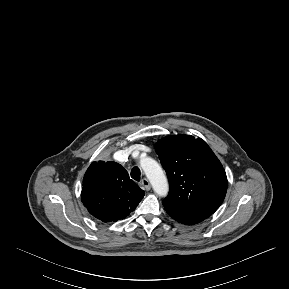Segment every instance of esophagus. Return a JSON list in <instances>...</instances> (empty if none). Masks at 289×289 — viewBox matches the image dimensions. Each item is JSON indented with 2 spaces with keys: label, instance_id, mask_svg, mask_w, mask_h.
I'll return each instance as SVG.
<instances>
[{
  "label": "esophagus",
  "instance_id": "obj_1",
  "mask_svg": "<svg viewBox=\"0 0 289 289\" xmlns=\"http://www.w3.org/2000/svg\"><path fill=\"white\" fill-rule=\"evenodd\" d=\"M141 185L143 186V188H144L146 191H149V190L151 189L150 182H149V180L146 179V178L142 179Z\"/></svg>",
  "mask_w": 289,
  "mask_h": 289
}]
</instances>
